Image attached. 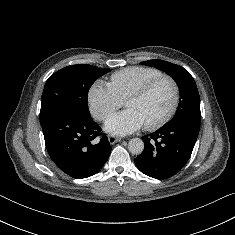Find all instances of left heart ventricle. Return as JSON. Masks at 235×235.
Segmentation results:
<instances>
[{
	"label": "left heart ventricle",
	"instance_id": "b2bd125f",
	"mask_svg": "<svg viewBox=\"0 0 235 235\" xmlns=\"http://www.w3.org/2000/svg\"><path fill=\"white\" fill-rule=\"evenodd\" d=\"M172 100V86L167 81H162L143 98L128 101L126 107L134 110L145 125L161 118L170 108Z\"/></svg>",
	"mask_w": 235,
	"mask_h": 235
}]
</instances>
